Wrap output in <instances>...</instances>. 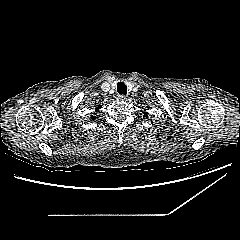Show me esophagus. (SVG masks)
I'll return each mask as SVG.
<instances>
[{
  "instance_id": "1",
  "label": "esophagus",
  "mask_w": 240,
  "mask_h": 240,
  "mask_svg": "<svg viewBox=\"0 0 240 240\" xmlns=\"http://www.w3.org/2000/svg\"><path fill=\"white\" fill-rule=\"evenodd\" d=\"M118 100H120V101H124V100H126L127 99V96L126 95H118Z\"/></svg>"
}]
</instances>
